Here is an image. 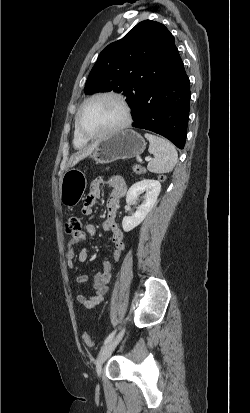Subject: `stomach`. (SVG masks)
<instances>
[{"instance_id":"1","label":"stomach","mask_w":250,"mask_h":413,"mask_svg":"<svg viewBox=\"0 0 250 413\" xmlns=\"http://www.w3.org/2000/svg\"><path fill=\"white\" fill-rule=\"evenodd\" d=\"M145 140L134 130H124L98 140V145L90 155L96 163H110L119 159L139 156L145 150ZM87 186L86 178L80 170L70 169L60 183V201L73 208L81 200Z\"/></svg>"}]
</instances>
